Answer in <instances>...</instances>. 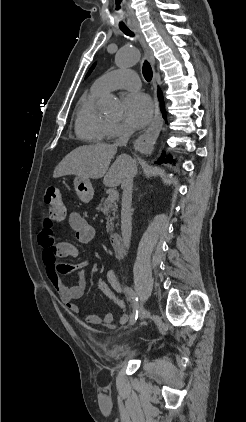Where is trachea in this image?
<instances>
[{
    "mask_svg": "<svg viewBox=\"0 0 246 422\" xmlns=\"http://www.w3.org/2000/svg\"><path fill=\"white\" fill-rule=\"evenodd\" d=\"M120 29L127 36H131V37L134 36V33L132 31H130L127 27H120ZM142 72H143V76L146 79V81H148V82L151 81L153 73H152V68H151L149 62H147V61L144 62Z\"/></svg>",
    "mask_w": 246,
    "mask_h": 422,
    "instance_id": "3493384b",
    "label": "trachea"
}]
</instances>
